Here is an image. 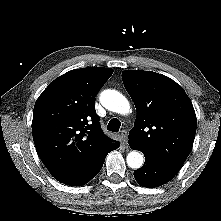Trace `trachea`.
I'll return each instance as SVG.
<instances>
[{
	"instance_id": "obj_1",
	"label": "trachea",
	"mask_w": 221,
	"mask_h": 221,
	"mask_svg": "<svg viewBox=\"0 0 221 221\" xmlns=\"http://www.w3.org/2000/svg\"><path fill=\"white\" fill-rule=\"evenodd\" d=\"M120 126H121V122L118 119L113 118L109 121L107 129L112 132H118L120 129Z\"/></svg>"
}]
</instances>
